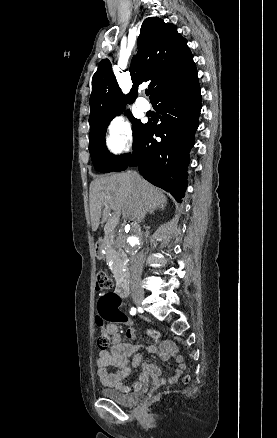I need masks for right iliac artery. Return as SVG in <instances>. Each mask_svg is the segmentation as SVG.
I'll return each instance as SVG.
<instances>
[{
  "mask_svg": "<svg viewBox=\"0 0 277 438\" xmlns=\"http://www.w3.org/2000/svg\"><path fill=\"white\" fill-rule=\"evenodd\" d=\"M136 313H137L136 308H135V307H132L131 310H130V314H131V315H136Z\"/></svg>",
  "mask_w": 277,
  "mask_h": 438,
  "instance_id": "right-iliac-artery-1",
  "label": "right iliac artery"
}]
</instances>
